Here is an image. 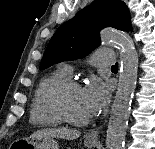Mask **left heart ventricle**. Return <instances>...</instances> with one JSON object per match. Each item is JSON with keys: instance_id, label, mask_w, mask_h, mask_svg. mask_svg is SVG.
I'll return each instance as SVG.
<instances>
[{"instance_id": "left-heart-ventricle-1", "label": "left heart ventricle", "mask_w": 155, "mask_h": 149, "mask_svg": "<svg viewBox=\"0 0 155 149\" xmlns=\"http://www.w3.org/2000/svg\"><path fill=\"white\" fill-rule=\"evenodd\" d=\"M66 106L74 118L85 119L89 117L83 101L82 88H73L67 93Z\"/></svg>"}]
</instances>
